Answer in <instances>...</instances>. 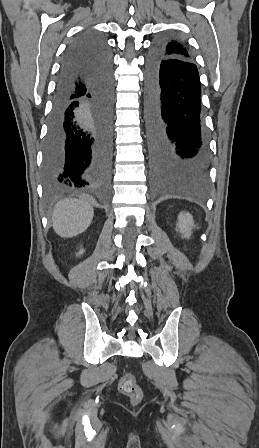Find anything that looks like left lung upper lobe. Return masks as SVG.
I'll list each match as a JSON object with an SVG mask.
<instances>
[{
    "label": "left lung upper lobe",
    "mask_w": 259,
    "mask_h": 448,
    "mask_svg": "<svg viewBox=\"0 0 259 448\" xmlns=\"http://www.w3.org/2000/svg\"><path fill=\"white\" fill-rule=\"evenodd\" d=\"M157 52L161 58H179L194 62V58L188 47L179 37H168L158 48Z\"/></svg>",
    "instance_id": "1"
}]
</instances>
